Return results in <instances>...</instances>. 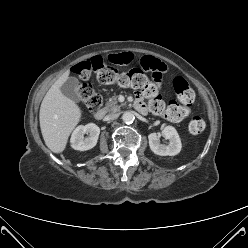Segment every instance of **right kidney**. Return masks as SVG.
I'll return each instance as SVG.
<instances>
[{"label":"right kidney","instance_id":"1","mask_svg":"<svg viewBox=\"0 0 248 248\" xmlns=\"http://www.w3.org/2000/svg\"><path fill=\"white\" fill-rule=\"evenodd\" d=\"M85 134H88V137L84 138ZM99 134L100 128L94 123H89L85 126L80 125L72 133L71 146L75 150H89L97 144Z\"/></svg>","mask_w":248,"mask_h":248}]
</instances>
